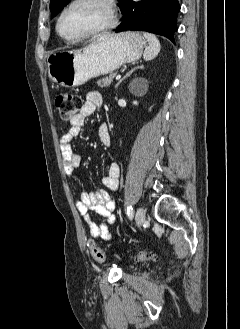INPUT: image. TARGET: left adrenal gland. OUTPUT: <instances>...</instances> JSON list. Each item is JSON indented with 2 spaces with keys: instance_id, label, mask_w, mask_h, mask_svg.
<instances>
[{
  "instance_id": "left-adrenal-gland-1",
  "label": "left adrenal gland",
  "mask_w": 240,
  "mask_h": 329,
  "mask_svg": "<svg viewBox=\"0 0 240 329\" xmlns=\"http://www.w3.org/2000/svg\"><path fill=\"white\" fill-rule=\"evenodd\" d=\"M143 69L144 68V66L143 65H141V66H138V67H135L134 69H132L131 71H129L118 83H117V85H116V87H118V85L126 78V77H128V76H130L136 69Z\"/></svg>"
}]
</instances>
